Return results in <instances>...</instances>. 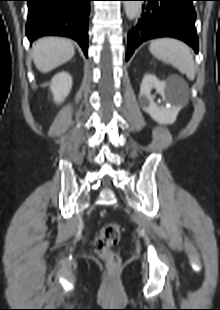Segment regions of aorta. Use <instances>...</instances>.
Masks as SVG:
<instances>
[{
  "mask_svg": "<svg viewBox=\"0 0 220 310\" xmlns=\"http://www.w3.org/2000/svg\"><path fill=\"white\" fill-rule=\"evenodd\" d=\"M141 1H124V9L128 19L133 20L141 11Z\"/></svg>",
  "mask_w": 220,
  "mask_h": 310,
  "instance_id": "762f6f07",
  "label": "aorta"
}]
</instances>
